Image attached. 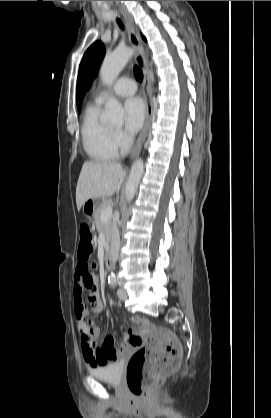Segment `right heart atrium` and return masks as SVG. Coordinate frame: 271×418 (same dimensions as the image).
<instances>
[{"label":"right heart atrium","instance_id":"1","mask_svg":"<svg viewBox=\"0 0 271 418\" xmlns=\"http://www.w3.org/2000/svg\"><path fill=\"white\" fill-rule=\"evenodd\" d=\"M113 136H114L115 145L118 149L124 151L130 147L132 143V138L130 135H128L124 131L119 130V129L115 130Z\"/></svg>","mask_w":271,"mask_h":418}]
</instances>
